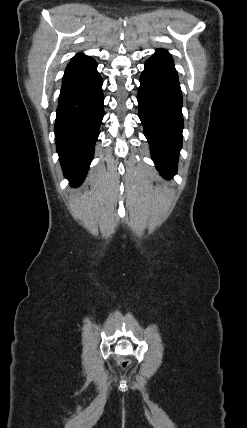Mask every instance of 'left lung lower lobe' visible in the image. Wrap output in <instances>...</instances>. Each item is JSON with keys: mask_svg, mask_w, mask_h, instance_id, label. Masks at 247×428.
<instances>
[{"mask_svg": "<svg viewBox=\"0 0 247 428\" xmlns=\"http://www.w3.org/2000/svg\"><path fill=\"white\" fill-rule=\"evenodd\" d=\"M138 116L156 168L169 179L175 175L182 147V92L170 54L158 49L145 63L137 95Z\"/></svg>", "mask_w": 247, "mask_h": 428, "instance_id": "obj_1", "label": "left lung lower lobe"}]
</instances>
